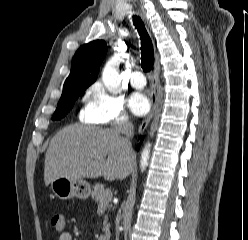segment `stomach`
<instances>
[{
	"mask_svg": "<svg viewBox=\"0 0 248 240\" xmlns=\"http://www.w3.org/2000/svg\"><path fill=\"white\" fill-rule=\"evenodd\" d=\"M51 190L61 200L71 198L87 199L91 194L90 184L82 179L59 177L51 183Z\"/></svg>",
	"mask_w": 248,
	"mask_h": 240,
	"instance_id": "stomach-1",
	"label": "stomach"
}]
</instances>
